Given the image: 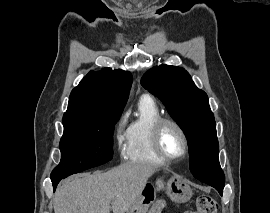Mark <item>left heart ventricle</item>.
Returning <instances> with one entry per match:
<instances>
[{
	"mask_svg": "<svg viewBox=\"0 0 270 213\" xmlns=\"http://www.w3.org/2000/svg\"><path fill=\"white\" fill-rule=\"evenodd\" d=\"M163 151L171 157H179L184 150V142L180 133L171 125L164 128L161 136Z\"/></svg>",
	"mask_w": 270,
	"mask_h": 213,
	"instance_id": "obj_1",
	"label": "left heart ventricle"
}]
</instances>
